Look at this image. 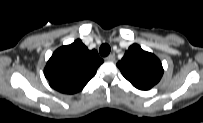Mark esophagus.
<instances>
[{
  "label": "esophagus",
  "instance_id": "1",
  "mask_svg": "<svg viewBox=\"0 0 203 123\" xmlns=\"http://www.w3.org/2000/svg\"><path fill=\"white\" fill-rule=\"evenodd\" d=\"M115 60V55L114 54H110L109 56H107L105 58V61H108V62H113Z\"/></svg>",
  "mask_w": 203,
  "mask_h": 123
}]
</instances>
